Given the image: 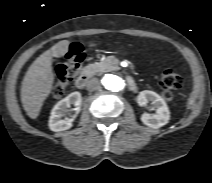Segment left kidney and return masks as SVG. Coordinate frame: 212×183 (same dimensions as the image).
Here are the masks:
<instances>
[{
  "mask_svg": "<svg viewBox=\"0 0 212 183\" xmlns=\"http://www.w3.org/2000/svg\"><path fill=\"white\" fill-rule=\"evenodd\" d=\"M137 101L140 106H144L147 102L153 104V108L156 111L155 114L144 113L141 116V121L154 129L160 128L166 125L170 119V111L165 100L157 93L149 90L140 92Z\"/></svg>",
  "mask_w": 212,
  "mask_h": 183,
  "instance_id": "5707ae66",
  "label": "left kidney"
}]
</instances>
